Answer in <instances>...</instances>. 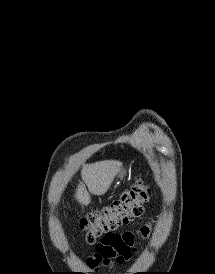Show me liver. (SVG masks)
<instances>
[{
    "label": "liver",
    "mask_w": 215,
    "mask_h": 274,
    "mask_svg": "<svg viewBox=\"0 0 215 274\" xmlns=\"http://www.w3.org/2000/svg\"><path fill=\"white\" fill-rule=\"evenodd\" d=\"M122 169V163L115 160L100 161L83 166L81 171L82 182L79 183L75 198L82 206L90 203V195H104L114 178Z\"/></svg>",
    "instance_id": "liver-1"
}]
</instances>
